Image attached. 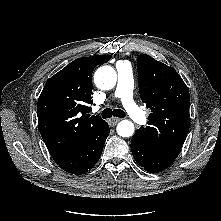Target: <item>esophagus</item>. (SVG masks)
Segmentation results:
<instances>
[{
	"mask_svg": "<svg viewBox=\"0 0 221 221\" xmlns=\"http://www.w3.org/2000/svg\"><path fill=\"white\" fill-rule=\"evenodd\" d=\"M121 119L120 118H112L109 120V124L111 126H115Z\"/></svg>",
	"mask_w": 221,
	"mask_h": 221,
	"instance_id": "34e87169",
	"label": "esophagus"
}]
</instances>
